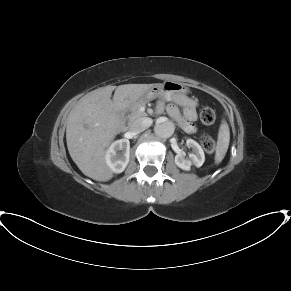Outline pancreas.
Wrapping results in <instances>:
<instances>
[{"mask_svg":"<svg viewBox=\"0 0 291 291\" xmlns=\"http://www.w3.org/2000/svg\"><path fill=\"white\" fill-rule=\"evenodd\" d=\"M147 103V100L141 99L138 102H135L130 105L129 111L130 114L128 115L129 121H133L135 119L141 118L146 116L145 112H141L140 108Z\"/></svg>","mask_w":291,"mask_h":291,"instance_id":"1","label":"pancreas"}]
</instances>
